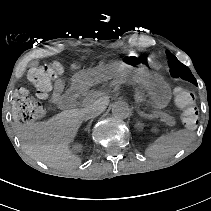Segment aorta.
<instances>
[{
	"label": "aorta",
	"instance_id": "aorta-1",
	"mask_svg": "<svg viewBox=\"0 0 211 211\" xmlns=\"http://www.w3.org/2000/svg\"><path fill=\"white\" fill-rule=\"evenodd\" d=\"M112 114L117 119H126L130 116L131 110L127 103L119 101L112 106Z\"/></svg>",
	"mask_w": 211,
	"mask_h": 211
}]
</instances>
